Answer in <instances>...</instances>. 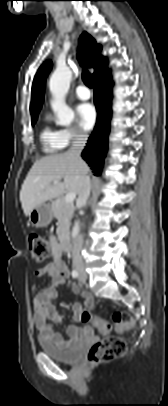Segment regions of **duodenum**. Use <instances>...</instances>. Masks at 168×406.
I'll return each mask as SVG.
<instances>
[{
    "instance_id": "410a0bca",
    "label": "duodenum",
    "mask_w": 168,
    "mask_h": 406,
    "mask_svg": "<svg viewBox=\"0 0 168 406\" xmlns=\"http://www.w3.org/2000/svg\"><path fill=\"white\" fill-rule=\"evenodd\" d=\"M60 248L64 252L70 251V240L67 235H62L60 238Z\"/></svg>"
}]
</instances>
